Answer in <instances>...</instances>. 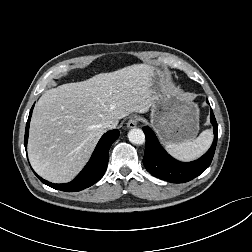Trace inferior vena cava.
<instances>
[{"mask_svg": "<svg viewBox=\"0 0 252 252\" xmlns=\"http://www.w3.org/2000/svg\"><path fill=\"white\" fill-rule=\"evenodd\" d=\"M117 126V123L114 121H105L102 124V127L105 129H114Z\"/></svg>", "mask_w": 252, "mask_h": 252, "instance_id": "inferior-vena-cava-1", "label": "inferior vena cava"}]
</instances>
